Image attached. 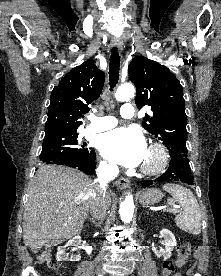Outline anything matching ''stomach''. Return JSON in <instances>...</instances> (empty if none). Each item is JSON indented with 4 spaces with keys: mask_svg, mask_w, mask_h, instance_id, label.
Segmentation results:
<instances>
[{
    "mask_svg": "<svg viewBox=\"0 0 221 276\" xmlns=\"http://www.w3.org/2000/svg\"><path fill=\"white\" fill-rule=\"evenodd\" d=\"M139 202L143 206L153 205L162 199L163 195L159 189L156 188H150L143 190L139 193Z\"/></svg>",
    "mask_w": 221,
    "mask_h": 276,
    "instance_id": "1",
    "label": "stomach"
}]
</instances>
